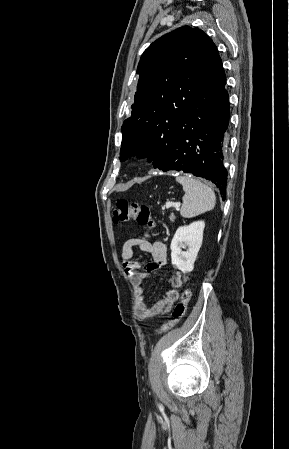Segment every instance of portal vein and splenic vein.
<instances>
[{"label": "portal vein and splenic vein", "instance_id": "obj_1", "mask_svg": "<svg viewBox=\"0 0 289 449\" xmlns=\"http://www.w3.org/2000/svg\"><path fill=\"white\" fill-rule=\"evenodd\" d=\"M180 205H181V203H179V202H176V203H174V202H167L166 203V208L168 209L170 207H174L175 209H179Z\"/></svg>", "mask_w": 289, "mask_h": 449}]
</instances>
